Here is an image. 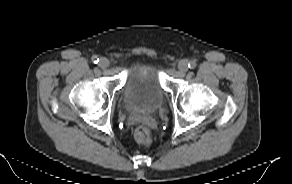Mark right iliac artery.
I'll return each instance as SVG.
<instances>
[{
	"instance_id": "right-iliac-artery-1",
	"label": "right iliac artery",
	"mask_w": 292,
	"mask_h": 184,
	"mask_svg": "<svg viewBox=\"0 0 292 184\" xmlns=\"http://www.w3.org/2000/svg\"><path fill=\"white\" fill-rule=\"evenodd\" d=\"M92 61L97 64L99 62V58L97 56H93Z\"/></svg>"
}]
</instances>
